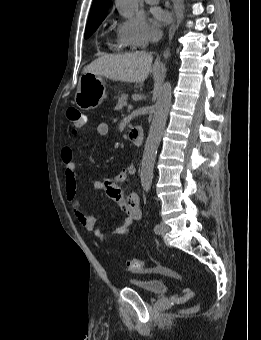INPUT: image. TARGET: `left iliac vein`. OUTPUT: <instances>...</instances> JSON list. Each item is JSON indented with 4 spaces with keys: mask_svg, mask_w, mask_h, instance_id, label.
<instances>
[{
    "mask_svg": "<svg viewBox=\"0 0 261 340\" xmlns=\"http://www.w3.org/2000/svg\"><path fill=\"white\" fill-rule=\"evenodd\" d=\"M168 231H169V227L165 223L161 222L160 223V230L158 232H156V233L163 236Z\"/></svg>",
    "mask_w": 261,
    "mask_h": 340,
    "instance_id": "4c4485c4",
    "label": "left iliac vein"
}]
</instances>
